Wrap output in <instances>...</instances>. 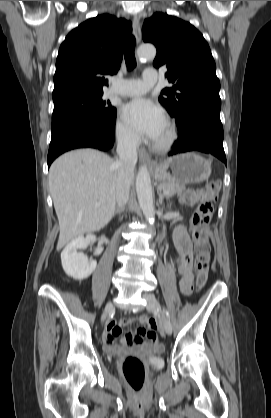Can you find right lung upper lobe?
Wrapping results in <instances>:
<instances>
[{"label": "right lung upper lobe", "mask_w": 271, "mask_h": 418, "mask_svg": "<svg viewBox=\"0 0 271 418\" xmlns=\"http://www.w3.org/2000/svg\"><path fill=\"white\" fill-rule=\"evenodd\" d=\"M132 31L129 21L109 14L91 18L72 30L56 60L53 100L103 92L105 75L115 74L123 45Z\"/></svg>", "instance_id": "cb5924a9"}]
</instances>
